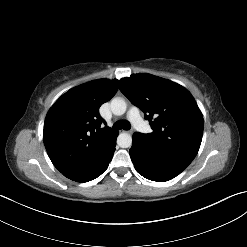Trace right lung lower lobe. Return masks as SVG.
<instances>
[{
	"label": "right lung lower lobe",
	"mask_w": 247,
	"mask_h": 247,
	"mask_svg": "<svg viewBox=\"0 0 247 247\" xmlns=\"http://www.w3.org/2000/svg\"><path fill=\"white\" fill-rule=\"evenodd\" d=\"M117 135L112 139L109 146L88 166L70 173L63 174L67 178L77 182H88L100 176L107 168L113 157Z\"/></svg>",
	"instance_id": "obj_1"
}]
</instances>
